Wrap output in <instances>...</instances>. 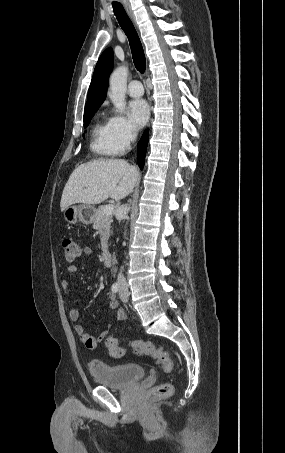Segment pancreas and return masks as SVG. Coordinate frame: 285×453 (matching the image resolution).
I'll use <instances>...</instances> for the list:
<instances>
[{"instance_id": "pancreas-1", "label": "pancreas", "mask_w": 285, "mask_h": 453, "mask_svg": "<svg viewBox=\"0 0 285 453\" xmlns=\"http://www.w3.org/2000/svg\"><path fill=\"white\" fill-rule=\"evenodd\" d=\"M104 206H100L94 215L93 220V228L98 230L100 233V240H101V249L102 251H107V241L110 236V226L113 221L112 214H104L103 212Z\"/></svg>"}]
</instances>
